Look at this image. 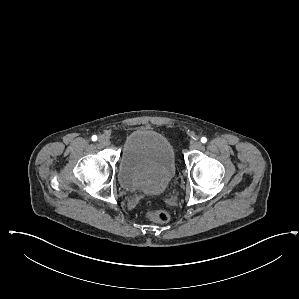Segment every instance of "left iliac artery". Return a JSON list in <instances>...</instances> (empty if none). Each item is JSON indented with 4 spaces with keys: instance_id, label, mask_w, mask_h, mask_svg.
Wrapping results in <instances>:
<instances>
[{
    "instance_id": "left-iliac-artery-1",
    "label": "left iliac artery",
    "mask_w": 299,
    "mask_h": 299,
    "mask_svg": "<svg viewBox=\"0 0 299 299\" xmlns=\"http://www.w3.org/2000/svg\"><path fill=\"white\" fill-rule=\"evenodd\" d=\"M201 142H202V143H206V142H207V138H206V137H202V138H201Z\"/></svg>"
}]
</instances>
